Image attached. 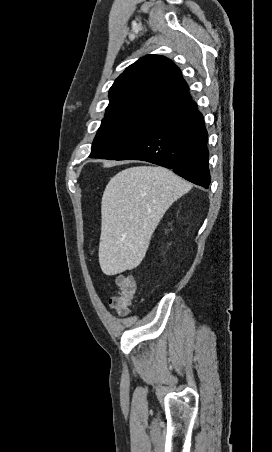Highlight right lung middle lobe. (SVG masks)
Returning a JSON list of instances; mask_svg holds the SVG:
<instances>
[{
    "instance_id": "1",
    "label": "right lung middle lobe",
    "mask_w": 272,
    "mask_h": 452,
    "mask_svg": "<svg viewBox=\"0 0 272 452\" xmlns=\"http://www.w3.org/2000/svg\"><path fill=\"white\" fill-rule=\"evenodd\" d=\"M160 115L132 111L105 117L93 141L90 157L116 159L131 147Z\"/></svg>"
}]
</instances>
